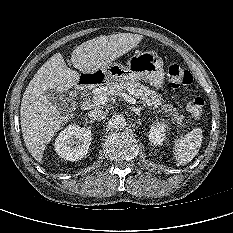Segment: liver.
<instances>
[{
  "label": "liver",
  "instance_id": "6515ba94",
  "mask_svg": "<svg viewBox=\"0 0 233 233\" xmlns=\"http://www.w3.org/2000/svg\"><path fill=\"white\" fill-rule=\"evenodd\" d=\"M142 35L118 33L83 42L71 54L73 67L83 74H94L116 58L134 49ZM80 80V74L67 67L61 53L54 54L36 72L22 98L20 121L25 145L41 162L46 145L73 114L62 112L45 95L47 90L67 92Z\"/></svg>",
  "mask_w": 233,
  "mask_h": 233
}]
</instances>
